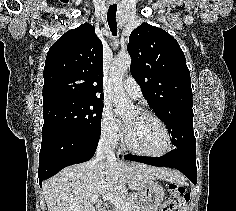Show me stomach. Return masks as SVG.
Returning <instances> with one entry per match:
<instances>
[{"label":"stomach","instance_id":"stomach-1","mask_svg":"<svg viewBox=\"0 0 236 211\" xmlns=\"http://www.w3.org/2000/svg\"><path fill=\"white\" fill-rule=\"evenodd\" d=\"M164 189L162 186L152 181L138 192V201L140 211H158L164 198Z\"/></svg>","mask_w":236,"mask_h":211}]
</instances>
